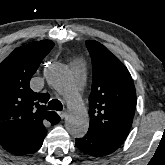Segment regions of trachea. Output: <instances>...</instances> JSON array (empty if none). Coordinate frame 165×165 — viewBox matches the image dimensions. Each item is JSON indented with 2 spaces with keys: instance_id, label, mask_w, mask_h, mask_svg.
Wrapping results in <instances>:
<instances>
[{
  "instance_id": "trachea-1",
  "label": "trachea",
  "mask_w": 165,
  "mask_h": 165,
  "mask_svg": "<svg viewBox=\"0 0 165 165\" xmlns=\"http://www.w3.org/2000/svg\"><path fill=\"white\" fill-rule=\"evenodd\" d=\"M48 109H49V110L62 111L63 105H62V103H61L59 100H57V99H52V100L48 103Z\"/></svg>"
}]
</instances>
